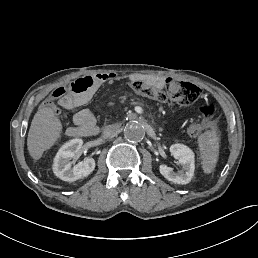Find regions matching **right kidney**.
I'll return each instance as SVG.
<instances>
[{
    "label": "right kidney",
    "mask_w": 258,
    "mask_h": 258,
    "mask_svg": "<svg viewBox=\"0 0 258 258\" xmlns=\"http://www.w3.org/2000/svg\"><path fill=\"white\" fill-rule=\"evenodd\" d=\"M83 145V139L74 138L64 143L53 160V172L63 181H75L88 176L95 168V162L87 159L83 163L72 166L71 159Z\"/></svg>",
    "instance_id": "ca27d5eb"
}]
</instances>
